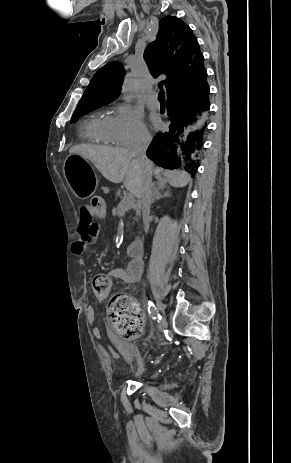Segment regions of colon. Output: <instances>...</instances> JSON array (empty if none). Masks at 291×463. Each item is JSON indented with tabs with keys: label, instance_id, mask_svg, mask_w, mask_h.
I'll use <instances>...</instances> for the list:
<instances>
[{
	"label": "colon",
	"instance_id": "obj_1",
	"mask_svg": "<svg viewBox=\"0 0 291 463\" xmlns=\"http://www.w3.org/2000/svg\"><path fill=\"white\" fill-rule=\"evenodd\" d=\"M95 212L102 215L106 212V202L101 197L91 201ZM92 290L96 298L105 300L112 292V281L106 275H97L92 280ZM108 319L117 334L123 337H134L141 333L143 318L139 304L128 296H113L108 305Z\"/></svg>",
	"mask_w": 291,
	"mask_h": 463
}]
</instances>
